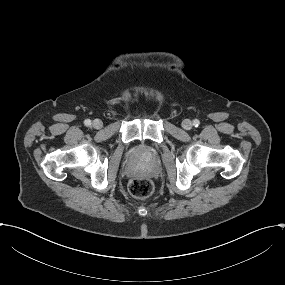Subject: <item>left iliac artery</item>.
I'll use <instances>...</instances> for the list:
<instances>
[{"instance_id": "obj_1", "label": "left iliac artery", "mask_w": 285, "mask_h": 285, "mask_svg": "<svg viewBox=\"0 0 285 285\" xmlns=\"http://www.w3.org/2000/svg\"><path fill=\"white\" fill-rule=\"evenodd\" d=\"M193 125H194L195 127H198V126L200 125V121H199L198 119H195V120L193 121Z\"/></svg>"}]
</instances>
